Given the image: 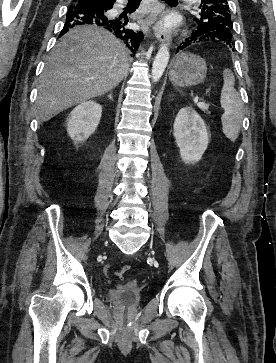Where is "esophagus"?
I'll use <instances>...</instances> for the list:
<instances>
[{
    "label": "esophagus",
    "instance_id": "esophagus-1",
    "mask_svg": "<svg viewBox=\"0 0 276 363\" xmlns=\"http://www.w3.org/2000/svg\"><path fill=\"white\" fill-rule=\"evenodd\" d=\"M151 5L150 12L146 18L148 25H153L155 37L162 43L170 44L171 37L167 31L159 24L157 16L161 13L162 6L157 0H148Z\"/></svg>",
    "mask_w": 276,
    "mask_h": 363
}]
</instances>
